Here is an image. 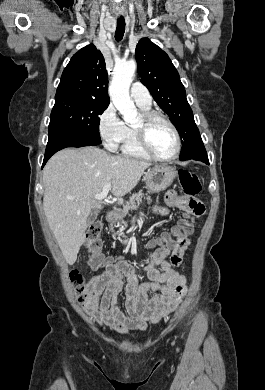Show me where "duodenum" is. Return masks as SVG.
Returning <instances> with one entry per match:
<instances>
[{"label":"duodenum","instance_id":"duodenum-1","mask_svg":"<svg viewBox=\"0 0 265 390\" xmlns=\"http://www.w3.org/2000/svg\"><path fill=\"white\" fill-rule=\"evenodd\" d=\"M117 219H118V215H117V213L114 212V211H110V212H108L107 215H106V221H107L108 223H113V222H115Z\"/></svg>","mask_w":265,"mask_h":390}]
</instances>
